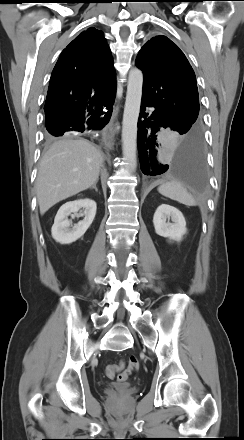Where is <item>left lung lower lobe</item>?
<instances>
[{"label":"left lung lower lobe","instance_id":"left-lung-lower-lobe-1","mask_svg":"<svg viewBox=\"0 0 244 440\" xmlns=\"http://www.w3.org/2000/svg\"><path fill=\"white\" fill-rule=\"evenodd\" d=\"M146 107H154L155 110L146 113ZM164 129L185 134L159 108L142 99L137 136L142 172L150 176L166 171L173 172L189 187L200 190L204 185L206 172L202 132L186 135L179 148L171 153L160 134Z\"/></svg>","mask_w":244,"mask_h":440}]
</instances>
